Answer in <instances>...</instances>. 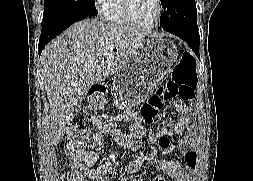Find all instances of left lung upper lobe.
Instances as JSON below:
<instances>
[{
  "label": "left lung upper lobe",
  "instance_id": "5c2ea615",
  "mask_svg": "<svg viewBox=\"0 0 253 181\" xmlns=\"http://www.w3.org/2000/svg\"><path fill=\"white\" fill-rule=\"evenodd\" d=\"M161 4L164 9L160 18L162 28L198 30L195 0H161Z\"/></svg>",
  "mask_w": 253,
  "mask_h": 181
}]
</instances>
